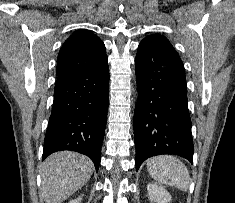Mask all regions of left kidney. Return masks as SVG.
<instances>
[{
	"instance_id": "left-kidney-1",
	"label": "left kidney",
	"mask_w": 235,
	"mask_h": 203,
	"mask_svg": "<svg viewBox=\"0 0 235 203\" xmlns=\"http://www.w3.org/2000/svg\"><path fill=\"white\" fill-rule=\"evenodd\" d=\"M147 191L151 203H170L172 200L169 192L157 184L149 183L147 185Z\"/></svg>"
}]
</instances>
